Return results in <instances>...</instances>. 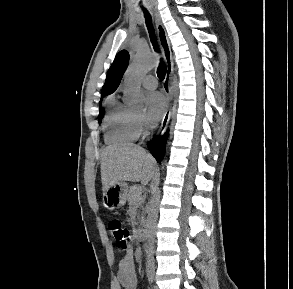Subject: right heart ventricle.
<instances>
[{"mask_svg": "<svg viewBox=\"0 0 293 289\" xmlns=\"http://www.w3.org/2000/svg\"><path fill=\"white\" fill-rule=\"evenodd\" d=\"M104 127L105 141L110 145L130 143L139 136L135 113L114 95L106 100Z\"/></svg>", "mask_w": 293, "mask_h": 289, "instance_id": "right-heart-ventricle-1", "label": "right heart ventricle"}]
</instances>
